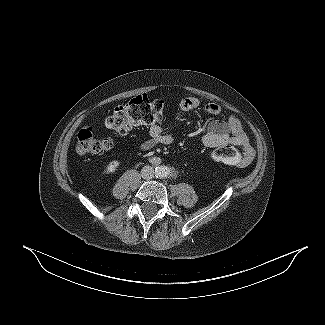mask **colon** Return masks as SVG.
Wrapping results in <instances>:
<instances>
[{"instance_id": "5ec220e1", "label": "colon", "mask_w": 325, "mask_h": 325, "mask_svg": "<svg viewBox=\"0 0 325 325\" xmlns=\"http://www.w3.org/2000/svg\"><path fill=\"white\" fill-rule=\"evenodd\" d=\"M166 109L163 101L146 94L138 95L115 107L106 118L105 127L114 135H123L135 126L161 122ZM111 145L110 137L97 136L92 127H84L77 134L76 150L80 155L96 154L109 149ZM211 157L213 161L226 165H240L242 161L239 151L231 145L215 148Z\"/></svg>"}]
</instances>
